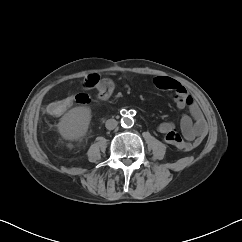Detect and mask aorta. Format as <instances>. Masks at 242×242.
I'll return each instance as SVG.
<instances>
[{
	"mask_svg": "<svg viewBox=\"0 0 242 242\" xmlns=\"http://www.w3.org/2000/svg\"><path fill=\"white\" fill-rule=\"evenodd\" d=\"M134 124V120L133 118L131 117V115H124L121 119V125L124 127V128H128V127H131L132 125Z\"/></svg>",
	"mask_w": 242,
	"mask_h": 242,
	"instance_id": "762f6f07",
	"label": "aorta"
}]
</instances>
